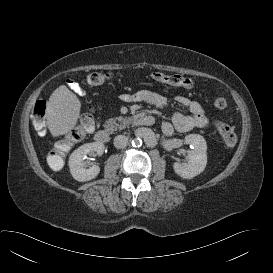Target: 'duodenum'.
<instances>
[{
  "instance_id": "duodenum-1",
  "label": "duodenum",
  "mask_w": 273,
  "mask_h": 273,
  "mask_svg": "<svg viewBox=\"0 0 273 273\" xmlns=\"http://www.w3.org/2000/svg\"><path fill=\"white\" fill-rule=\"evenodd\" d=\"M154 122V118L152 116H139L136 120H135V124L137 126H150L152 125ZM111 135L110 133L105 130V129H100L97 130L94 134V139L96 142L101 143V144H106L110 141Z\"/></svg>"
}]
</instances>
